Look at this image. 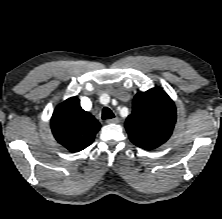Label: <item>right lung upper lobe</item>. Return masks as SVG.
Masks as SVG:
<instances>
[{"label":"right lung upper lobe","mask_w":222,"mask_h":219,"mask_svg":"<svg viewBox=\"0 0 222 219\" xmlns=\"http://www.w3.org/2000/svg\"><path fill=\"white\" fill-rule=\"evenodd\" d=\"M100 127V123L80 107L77 97H71L58 105L51 118L55 139L71 152L88 147Z\"/></svg>","instance_id":"cb5924a9"}]
</instances>
